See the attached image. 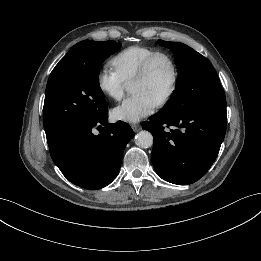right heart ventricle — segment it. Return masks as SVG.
<instances>
[{
  "mask_svg": "<svg viewBox=\"0 0 261 261\" xmlns=\"http://www.w3.org/2000/svg\"><path fill=\"white\" fill-rule=\"evenodd\" d=\"M158 50L147 46H130L118 52L111 60L113 70L124 80L131 82L144 61Z\"/></svg>",
  "mask_w": 261,
  "mask_h": 261,
  "instance_id": "obj_1",
  "label": "right heart ventricle"
}]
</instances>
